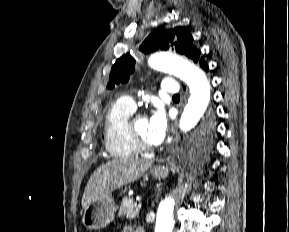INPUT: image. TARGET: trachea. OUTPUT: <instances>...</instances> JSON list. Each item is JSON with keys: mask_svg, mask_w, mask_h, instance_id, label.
Listing matches in <instances>:
<instances>
[{"mask_svg": "<svg viewBox=\"0 0 289 232\" xmlns=\"http://www.w3.org/2000/svg\"><path fill=\"white\" fill-rule=\"evenodd\" d=\"M173 98H180L178 94L174 95Z\"/></svg>", "mask_w": 289, "mask_h": 232, "instance_id": "1", "label": "trachea"}]
</instances>
